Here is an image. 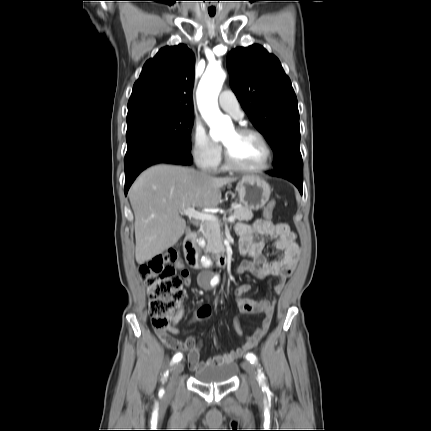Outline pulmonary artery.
I'll use <instances>...</instances> for the list:
<instances>
[{
  "label": "pulmonary artery",
  "mask_w": 431,
  "mask_h": 431,
  "mask_svg": "<svg viewBox=\"0 0 431 431\" xmlns=\"http://www.w3.org/2000/svg\"><path fill=\"white\" fill-rule=\"evenodd\" d=\"M218 102L220 107L235 119H241L243 117L244 114L240 108V104L231 90L222 91L219 95Z\"/></svg>",
  "instance_id": "pulmonary-artery-1"
}]
</instances>
